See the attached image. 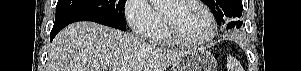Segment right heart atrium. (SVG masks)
Segmentation results:
<instances>
[{
    "label": "right heart atrium",
    "mask_w": 301,
    "mask_h": 71,
    "mask_svg": "<svg viewBox=\"0 0 301 71\" xmlns=\"http://www.w3.org/2000/svg\"><path fill=\"white\" fill-rule=\"evenodd\" d=\"M125 17L132 32L142 38H148L160 20V15L147 0H128Z\"/></svg>",
    "instance_id": "obj_1"
}]
</instances>
